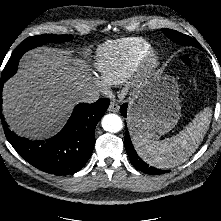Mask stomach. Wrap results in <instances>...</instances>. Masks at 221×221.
I'll return each mask as SVG.
<instances>
[{"instance_id":"1","label":"stomach","mask_w":221,"mask_h":221,"mask_svg":"<svg viewBox=\"0 0 221 221\" xmlns=\"http://www.w3.org/2000/svg\"><path fill=\"white\" fill-rule=\"evenodd\" d=\"M181 116L178 84L158 71L143 81L130 100L128 127L134 137L154 139L171 131Z\"/></svg>"}]
</instances>
